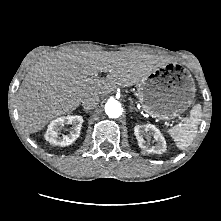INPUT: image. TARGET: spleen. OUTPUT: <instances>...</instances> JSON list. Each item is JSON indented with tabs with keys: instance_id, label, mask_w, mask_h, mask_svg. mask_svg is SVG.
Here are the masks:
<instances>
[{
	"instance_id": "1",
	"label": "spleen",
	"mask_w": 221,
	"mask_h": 221,
	"mask_svg": "<svg viewBox=\"0 0 221 221\" xmlns=\"http://www.w3.org/2000/svg\"><path fill=\"white\" fill-rule=\"evenodd\" d=\"M191 116L185 123L174 126L168 130L179 149L187 148L194 140L197 134V127L201 118V105L197 104L190 112Z\"/></svg>"
}]
</instances>
